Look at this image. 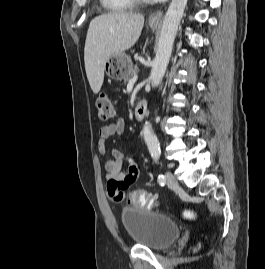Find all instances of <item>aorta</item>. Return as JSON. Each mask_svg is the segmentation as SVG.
Segmentation results:
<instances>
[{
  "mask_svg": "<svg viewBox=\"0 0 265 269\" xmlns=\"http://www.w3.org/2000/svg\"><path fill=\"white\" fill-rule=\"evenodd\" d=\"M187 1L188 0H172L165 14L157 44L156 55L149 77L152 87H157L165 75L178 26L183 16ZM142 133L151 156L153 158H158L160 155V145L157 137L152 131L150 123H145Z\"/></svg>",
  "mask_w": 265,
  "mask_h": 269,
  "instance_id": "aorta-1",
  "label": "aorta"
}]
</instances>
